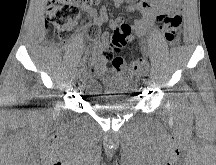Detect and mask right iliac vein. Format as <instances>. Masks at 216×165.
Returning <instances> with one entry per match:
<instances>
[{"instance_id":"63e3f726","label":"right iliac vein","mask_w":216,"mask_h":165,"mask_svg":"<svg viewBox=\"0 0 216 165\" xmlns=\"http://www.w3.org/2000/svg\"><path fill=\"white\" fill-rule=\"evenodd\" d=\"M84 73V70L82 69L79 73H78V77L80 78Z\"/></svg>"}]
</instances>
